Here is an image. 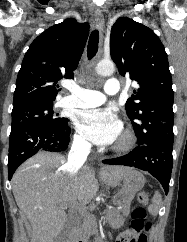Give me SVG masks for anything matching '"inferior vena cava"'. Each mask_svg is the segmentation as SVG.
<instances>
[{
	"label": "inferior vena cava",
	"mask_w": 187,
	"mask_h": 242,
	"mask_svg": "<svg viewBox=\"0 0 187 242\" xmlns=\"http://www.w3.org/2000/svg\"><path fill=\"white\" fill-rule=\"evenodd\" d=\"M91 144L84 140H76L72 144L71 150L68 154L67 170L70 174L75 175L78 173L81 166L87 159L90 152Z\"/></svg>",
	"instance_id": "inferior-vena-cava-1"
}]
</instances>
